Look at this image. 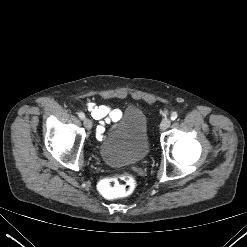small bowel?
<instances>
[{"instance_id": "obj_1", "label": "small bowel", "mask_w": 247, "mask_h": 247, "mask_svg": "<svg viewBox=\"0 0 247 247\" xmlns=\"http://www.w3.org/2000/svg\"><path fill=\"white\" fill-rule=\"evenodd\" d=\"M87 108L92 117L100 121V125L96 128V135L99 140L105 137V124L117 122L122 118V111L109 105H97L93 101L87 103Z\"/></svg>"}]
</instances>
